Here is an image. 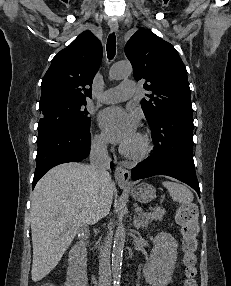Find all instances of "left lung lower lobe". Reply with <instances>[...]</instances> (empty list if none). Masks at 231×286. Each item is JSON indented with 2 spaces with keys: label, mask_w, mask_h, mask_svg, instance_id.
Instances as JSON below:
<instances>
[{
  "label": "left lung lower lobe",
  "mask_w": 231,
  "mask_h": 286,
  "mask_svg": "<svg viewBox=\"0 0 231 286\" xmlns=\"http://www.w3.org/2000/svg\"><path fill=\"white\" fill-rule=\"evenodd\" d=\"M149 126L154 152L131 170L132 179L167 175L188 184L200 196L193 161L192 114L167 112Z\"/></svg>",
  "instance_id": "0a47b994"
}]
</instances>
